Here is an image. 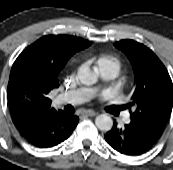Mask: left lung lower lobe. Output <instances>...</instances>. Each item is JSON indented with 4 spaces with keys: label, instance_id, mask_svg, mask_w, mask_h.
Instances as JSON below:
<instances>
[{
    "label": "left lung lower lobe",
    "instance_id": "1",
    "mask_svg": "<svg viewBox=\"0 0 173 170\" xmlns=\"http://www.w3.org/2000/svg\"><path fill=\"white\" fill-rule=\"evenodd\" d=\"M161 133L154 128L136 120L118 128L114 122L113 128L106 133L105 139L115 150L124 155L134 156L146 153L160 139Z\"/></svg>",
    "mask_w": 173,
    "mask_h": 170
}]
</instances>
